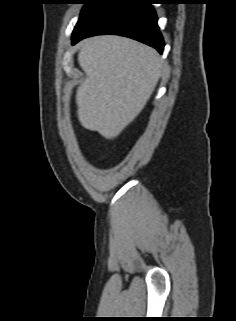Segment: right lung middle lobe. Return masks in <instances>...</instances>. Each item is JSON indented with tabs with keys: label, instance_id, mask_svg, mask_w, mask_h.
Instances as JSON below:
<instances>
[{
	"label": "right lung middle lobe",
	"instance_id": "1",
	"mask_svg": "<svg viewBox=\"0 0 236 321\" xmlns=\"http://www.w3.org/2000/svg\"><path fill=\"white\" fill-rule=\"evenodd\" d=\"M107 2H109V0H82L81 3L84 4V7L74 28L72 36H74L84 26V24Z\"/></svg>",
	"mask_w": 236,
	"mask_h": 321
}]
</instances>
